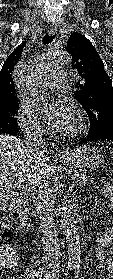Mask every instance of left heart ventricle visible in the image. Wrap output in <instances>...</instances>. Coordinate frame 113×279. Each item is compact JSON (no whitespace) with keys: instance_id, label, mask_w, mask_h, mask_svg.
Here are the masks:
<instances>
[{"instance_id":"b2bd125f","label":"left heart ventricle","mask_w":113,"mask_h":279,"mask_svg":"<svg viewBox=\"0 0 113 279\" xmlns=\"http://www.w3.org/2000/svg\"><path fill=\"white\" fill-rule=\"evenodd\" d=\"M75 121H76V116H75V113H73V117H72V119H71L69 125L64 129L63 132L66 133V132L70 131V130L74 127Z\"/></svg>"}]
</instances>
